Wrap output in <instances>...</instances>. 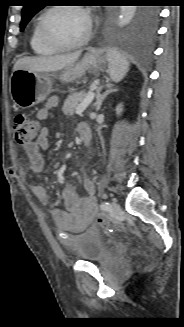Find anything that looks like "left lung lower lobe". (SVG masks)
I'll return each instance as SVG.
<instances>
[{
  "instance_id": "obj_1",
  "label": "left lung lower lobe",
  "mask_w": 184,
  "mask_h": 327,
  "mask_svg": "<svg viewBox=\"0 0 184 327\" xmlns=\"http://www.w3.org/2000/svg\"><path fill=\"white\" fill-rule=\"evenodd\" d=\"M158 16V10L155 7L142 8L132 26L111 37V46L116 51L149 54L157 31Z\"/></svg>"
}]
</instances>
